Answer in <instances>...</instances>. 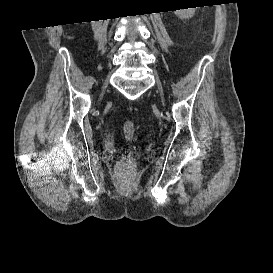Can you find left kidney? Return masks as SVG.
Here are the masks:
<instances>
[{
  "label": "left kidney",
  "mask_w": 273,
  "mask_h": 273,
  "mask_svg": "<svg viewBox=\"0 0 273 273\" xmlns=\"http://www.w3.org/2000/svg\"><path fill=\"white\" fill-rule=\"evenodd\" d=\"M175 15H177L181 20L192 18L195 13V8L174 10Z\"/></svg>",
  "instance_id": "obj_1"
}]
</instances>
